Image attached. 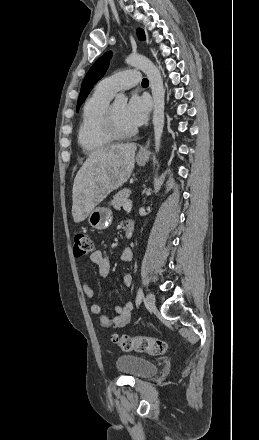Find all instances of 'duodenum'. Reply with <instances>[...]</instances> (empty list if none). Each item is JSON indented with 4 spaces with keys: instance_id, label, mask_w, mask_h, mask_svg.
<instances>
[{
    "instance_id": "obj_1",
    "label": "duodenum",
    "mask_w": 259,
    "mask_h": 440,
    "mask_svg": "<svg viewBox=\"0 0 259 440\" xmlns=\"http://www.w3.org/2000/svg\"><path fill=\"white\" fill-rule=\"evenodd\" d=\"M124 230H125V236L127 238H131L134 232V221L131 219H127L125 221Z\"/></svg>"
}]
</instances>
